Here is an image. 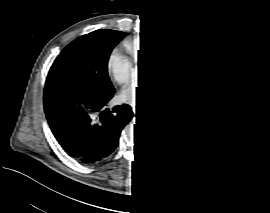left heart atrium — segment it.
<instances>
[{"mask_svg":"<svg viewBox=\"0 0 270 213\" xmlns=\"http://www.w3.org/2000/svg\"><path fill=\"white\" fill-rule=\"evenodd\" d=\"M139 83L135 82L130 84L124 90V95L129 100H135L138 94Z\"/></svg>","mask_w":270,"mask_h":213,"instance_id":"left-heart-atrium-1","label":"left heart atrium"}]
</instances>
